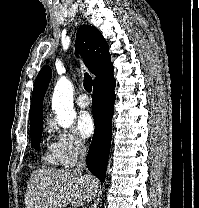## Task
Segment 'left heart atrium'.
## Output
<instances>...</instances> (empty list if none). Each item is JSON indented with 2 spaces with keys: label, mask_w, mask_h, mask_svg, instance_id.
<instances>
[{
  "label": "left heart atrium",
  "mask_w": 199,
  "mask_h": 208,
  "mask_svg": "<svg viewBox=\"0 0 199 208\" xmlns=\"http://www.w3.org/2000/svg\"><path fill=\"white\" fill-rule=\"evenodd\" d=\"M77 129L84 138H89L93 134L95 130V123L89 112L83 111L78 115Z\"/></svg>",
  "instance_id": "39dd6f15"
}]
</instances>
